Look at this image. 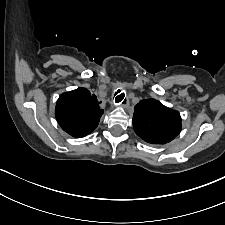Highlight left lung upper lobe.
<instances>
[{"mask_svg":"<svg viewBox=\"0 0 225 225\" xmlns=\"http://www.w3.org/2000/svg\"><path fill=\"white\" fill-rule=\"evenodd\" d=\"M133 126L144 141L166 144L180 133L181 117L155 99H144L135 106Z\"/></svg>","mask_w":225,"mask_h":225,"instance_id":"1","label":"left lung upper lobe"}]
</instances>
